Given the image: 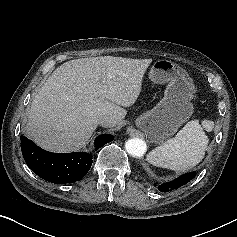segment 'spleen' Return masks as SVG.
<instances>
[{"mask_svg": "<svg viewBox=\"0 0 237 237\" xmlns=\"http://www.w3.org/2000/svg\"><path fill=\"white\" fill-rule=\"evenodd\" d=\"M214 123L204 120L202 125L198 120L188 122L174 138L153 149L147 157L154 166L182 171L199 164L208 145L205 130L212 131Z\"/></svg>", "mask_w": 237, "mask_h": 237, "instance_id": "1", "label": "spleen"}]
</instances>
